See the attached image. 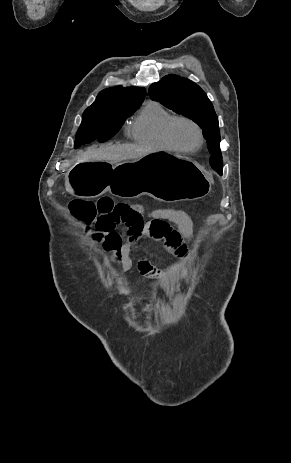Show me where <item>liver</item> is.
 Instances as JSON below:
<instances>
[{
    "label": "liver",
    "instance_id": "1",
    "mask_svg": "<svg viewBox=\"0 0 291 463\" xmlns=\"http://www.w3.org/2000/svg\"><path fill=\"white\" fill-rule=\"evenodd\" d=\"M155 152V149L143 145L135 144H117L105 145L102 147H90L79 156V163L109 161L117 164L124 160H136L149 153Z\"/></svg>",
    "mask_w": 291,
    "mask_h": 463
}]
</instances>
